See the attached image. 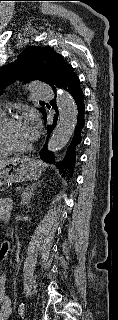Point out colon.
<instances>
[{
    "label": "colon",
    "instance_id": "colon-1",
    "mask_svg": "<svg viewBox=\"0 0 118 320\" xmlns=\"http://www.w3.org/2000/svg\"><path fill=\"white\" fill-rule=\"evenodd\" d=\"M3 256H4V254H3V253H0V259H2V258H3Z\"/></svg>",
    "mask_w": 118,
    "mask_h": 320
}]
</instances>
